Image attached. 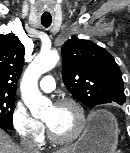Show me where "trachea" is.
Returning a JSON list of instances; mask_svg holds the SVG:
<instances>
[{"mask_svg":"<svg viewBox=\"0 0 130 153\" xmlns=\"http://www.w3.org/2000/svg\"><path fill=\"white\" fill-rule=\"evenodd\" d=\"M41 23L44 27H49L52 23V18L51 17H41Z\"/></svg>","mask_w":130,"mask_h":153,"instance_id":"1","label":"trachea"}]
</instances>
